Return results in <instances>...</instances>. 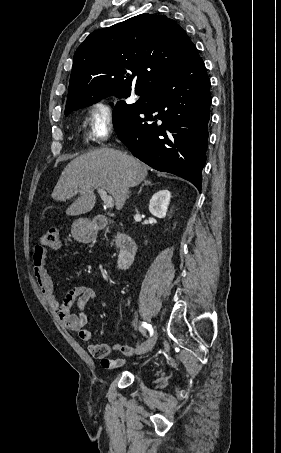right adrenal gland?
Segmentation results:
<instances>
[{
  "label": "right adrenal gland",
  "mask_w": 281,
  "mask_h": 453,
  "mask_svg": "<svg viewBox=\"0 0 281 453\" xmlns=\"http://www.w3.org/2000/svg\"><path fill=\"white\" fill-rule=\"evenodd\" d=\"M146 184H150V186H151V184H152L151 180H144V184H141V186L139 188V192H141L143 186H146Z\"/></svg>",
  "instance_id": "obj_1"
}]
</instances>
